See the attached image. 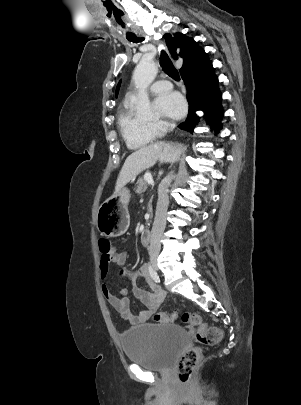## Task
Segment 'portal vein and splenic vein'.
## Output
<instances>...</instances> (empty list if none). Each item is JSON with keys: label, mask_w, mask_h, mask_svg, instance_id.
<instances>
[{"label": "portal vein and splenic vein", "mask_w": 301, "mask_h": 405, "mask_svg": "<svg viewBox=\"0 0 301 405\" xmlns=\"http://www.w3.org/2000/svg\"><path fill=\"white\" fill-rule=\"evenodd\" d=\"M145 179L147 180L148 184L154 186V181L150 175H145Z\"/></svg>", "instance_id": "portal-vein-and-splenic-vein-1"}]
</instances>
